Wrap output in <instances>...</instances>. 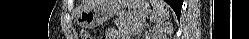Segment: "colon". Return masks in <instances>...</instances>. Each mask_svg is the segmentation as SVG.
I'll return each instance as SVG.
<instances>
[{
    "instance_id": "obj_1",
    "label": "colon",
    "mask_w": 249,
    "mask_h": 39,
    "mask_svg": "<svg viewBox=\"0 0 249 39\" xmlns=\"http://www.w3.org/2000/svg\"><path fill=\"white\" fill-rule=\"evenodd\" d=\"M80 38L81 39H93V36L89 34L86 30L82 29L80 31Z\"/></svg>"
}]
</instances>
